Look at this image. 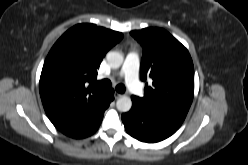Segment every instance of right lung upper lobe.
Segmentation results:
<instances>
[{"label":"right lung upper lobe","mask_w":248,"mask_h":165,"mask_svg":"<svg viewBox=\"0 0 248 165\" xmlns=\"http://www.w3.org/2000/svg\"><path fill=\"white\" fill-rule=\"evenodd\" d=\"M122 38V33L95 24H78L54 44L39 90L45 112L58 130L82 121L105 101L108 90L93 85L96 69Z\"/></svg>","instance_id":"obj_1"}]
</instances>
